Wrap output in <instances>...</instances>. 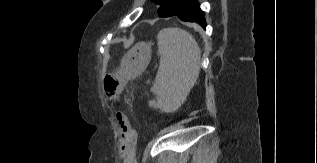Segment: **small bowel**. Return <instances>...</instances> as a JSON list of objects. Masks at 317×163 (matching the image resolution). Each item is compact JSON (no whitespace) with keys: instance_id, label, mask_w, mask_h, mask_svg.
<instances>
[{"instance_id":"small-bowel-1","label":"small bowel","mask_w":317,"mask_h":163,"mask_svg":"<svg viewBox=\"0 0 317 163\" xmlns=\"http://www.w3.org/2000/svg\"><path fill=\"white\" fill-rule=\"evenodd\" d=\"M119 128L123 134L122 145L125 147L124 157L127 163L133 162V153L136 146L137 135L132 128L131 121L125 112L119 111L116 113Z\"/></svg>"}]
</instances>
